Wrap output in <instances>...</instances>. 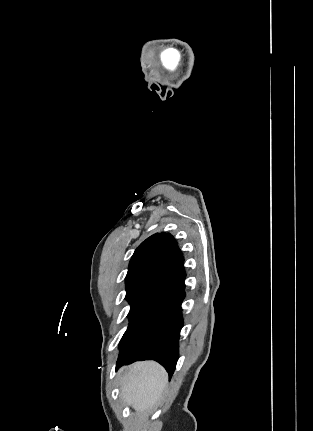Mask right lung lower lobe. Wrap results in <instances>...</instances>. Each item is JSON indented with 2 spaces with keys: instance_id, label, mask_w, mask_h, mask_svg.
<instances>
[{
  "instance_id": "1",
  "label": "right lung lower lobe",
  "mask_w": 313,
  "mask_h": 431,
  "mask_svg": "<svg viewBox=\"0 0 313 431\" xmlns=\"http://www.w3.org/2000/svg\"><path fill=\"white\" fill-rule=\"evenodd\" d=\"M185 276L181 267L147 298L120 341L116 368L135 361L155 360L171 378L179 357Z\"/></svg>"
}]
</instances>
